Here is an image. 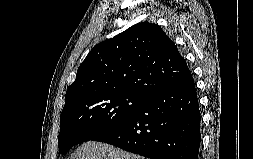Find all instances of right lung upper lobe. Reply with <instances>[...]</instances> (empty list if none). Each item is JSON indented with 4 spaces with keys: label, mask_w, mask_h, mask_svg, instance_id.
Returning a JSON list of instances; mask_svg holds the SVG:
<instances>
[{
    "label": "right lung upper lobe",
    "mask_w": 253,
    "mask_h": 159,
    "mask_svg": "<svg viewBox=\"0 0 253 159\" xmlns=\"http://www.w3.org/2000/svg\"><path fill=\"white\" fill-rule=\"evenodd\" d=\"M191 75L174 42L158 26L138 23L96 45L77 70L65 104L99 92H133L148 97Z\"/></svg>",
    "instance_id": "obj_1"
}]
</instances>
